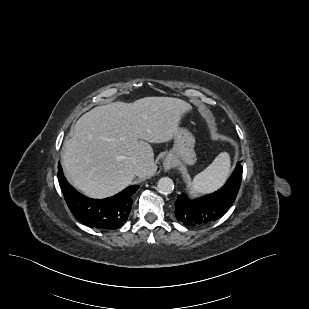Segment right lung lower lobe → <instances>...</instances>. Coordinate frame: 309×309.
I'll return each instance as SVG.
<instances>
[{
	"label": "right lung lower lobe",
	"instance_id": "obj_1",
	"mask_svg": "<svg viewBox=\"0 0 309 309\" xmlns=\"http://www.w3.org/2000/svg\"><path fill=\"white\" fill-rule=\"evenodd\" d=\"M58 180L64 198L75 218L86 226L99 229H117L127 221L133 203L132 196L139 188L132 185L113 197L90 199L78 193L64 178L58 165Z\"/></svg>",
	"mask_w": 309,
	"mask_h": 309
}]
</instances>
